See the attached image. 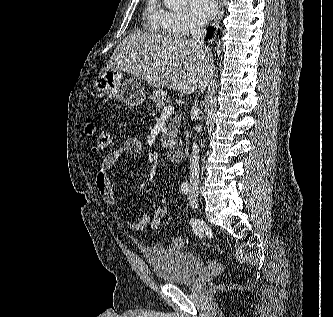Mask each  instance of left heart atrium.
Here are the masks:
<instances>
[{
	"instance_id": "obj_1",
	"label": "left heart atrium",
	"mask_w": 333,
	"mask_h": 317,
	"mask_svg": "<svg viewBox=\"0 0 333 317\" xmlns=\"http://www.w3.org/2000/svg\"><path fill=\"white\" fill-rule=\"evenodd\" d=\"M189 14L198 24L211 19L218 10L216 0H189Z\"/></svg>"
}]
</instances>
